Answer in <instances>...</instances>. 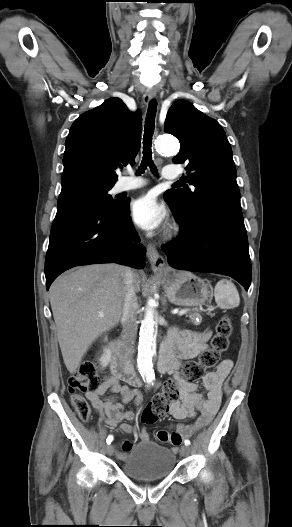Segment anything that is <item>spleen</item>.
<instances>
[{"mask_svg":"<svg viewBox=\"0 0 292 527\" xmlns=\"http://www.w3.org/2000/svg\"><path fill=\"white\" fill-rule=\"evenodd\" d=\"M214 297L221 308L231 309L238 307L240 304L239 293L235 285L226 279H222L216 284Z\"/></svg>","mask_w":292,"mask_h":527,"instance_id":"3e777b00","label":"spleen"}]
</instances>
